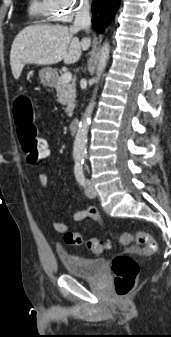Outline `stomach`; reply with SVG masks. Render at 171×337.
<instances>
[{
    "label": "stomach",
    "mask_w": 171,
    "mask_h": 337,
    "mask_svg": "<svg viewBox=\"0 0 171 337\" xmlns=\"http://www.w3.org/2000/svg\"><path fill=\"white\" fill-rule=\"evenodd\" d=\"M39 76L40 80L47 85H53L57 80L56 70L50 67L41 69Z\"/></svg>",
    "instance_id": "stomach-1"
}]
</instances>
